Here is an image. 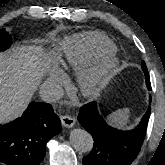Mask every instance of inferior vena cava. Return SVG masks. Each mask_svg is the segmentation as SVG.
I'll use <instances>...</instances> for the list:
<instances>
[{"label": "inferior vena cava", "mask_w": 165, "mask_h": 165, "mask_svg": "<svg viewBox=\"0 0 165 165\" xmlns=\"http://www.w3.org/2000/svg\"><path fill=\"white\" fill-rule=\"evenodd\" d=\"M40 97L43 101L51 103L57 101L62 95L61 87L52 82H45L39 90Z\"/></svg>", "instance_id": "602c4592"}]
</instances>
